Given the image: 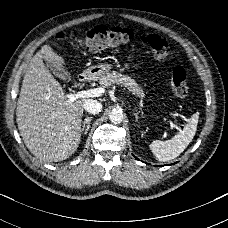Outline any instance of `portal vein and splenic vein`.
<instances>
[{
    "label": "portal vein and splenic vein",
    "instance_id": "18ae733b",
    "mask_svg": "<svg viewBox=\"0 0 228 228\" xmlns=\"http://www.w3.org/2000/svg\"><path fill=\"white\" fill-rule=\"evenodd\" d=\"M103 93H104L103 88H95V89H89V90H80V91L75 92V93H66L65 97L70 102H73V101H77V100L83 99V98L99 97ZM166 116L167 117L173 116V119L178 120V121H183V116L180 115L179 111L167 112ZM166 123L168 125H164V128L162 130V139H167L168 131H174V130L176 132L180 131V127L177 126L176 124H174L170 119H167Z\"/></svg>",
    "mask_w": 228,
    "mask_h": 228
}]
</instances>
